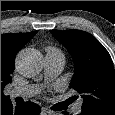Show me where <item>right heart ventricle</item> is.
<instances>
[{
    "label": "right heart ventricle",
    "mask_w": 115,
    "mask_h": 115,
    "mask_svg": "<svg viewBox=\"0 0 115 115\" xmlns=\"http://www.w3.org/2000/svg\"><path fill=\"white\" fill-rule=\"evenodd\" d=\"M48 51H58V50L55 48H48Z\"/></svg>",
    "instance_id": "e07e8e85"
}]
</instances>
